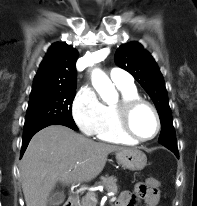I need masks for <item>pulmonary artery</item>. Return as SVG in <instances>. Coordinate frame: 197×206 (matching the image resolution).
<instances>
[{
    "label": "pulmonary artery",
    "mask_w": 197,
    "mask_h": 206,
    "mask_svg": "<svg viewBox=\"0 0 197 206\" xmlns=\"http://www.w3.org/2000/svg\"><path fill=\"white\" fill-rule=\"evenodd\" d=\"M110 79L119 85L131 86L134 81L133 78L124 70L120 68H113L110 71Z\"/></svg>",
    "instance_id": "pulmonary-artery-1"
}]
</instances>
